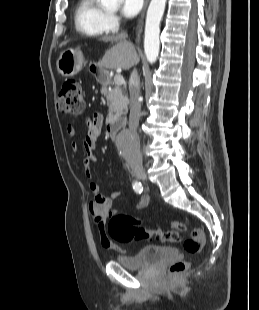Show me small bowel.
I'll return each instance as SVG.
<instances>
[{"mask_svg": "<svg viewBox=\"0 0 259 310\" xmlns=\"http://www.w3.org/2000/svg\"><path fill=\"white\" fill-rule=\"evenodd\" d=\"M86 125V132L82 139V147L85 152V158L82 162V173L88 178V187L92 193V198L88 206L89 212L93 218L101 245L117 253H123L124 250L111 240L106 228L107 218L117 213L112 208V198L101 194L99 191V185L92 178L91 164L96 161L95 148L102 129L103 116L100 113H94L87 119ZM67 134L70 138H75L76 131L74 127L68 126ZM71 149L74 152H77L79 150L78 143L73 142L71 144ZM148 204L149 198L147 196H142L136 203L135 207L136 209L141 210L146 208Z\"/></svg>", "mask_w": 259, "mask_h": 310, "instance_id": "1", "label": "small bowel"}]
</instances>
